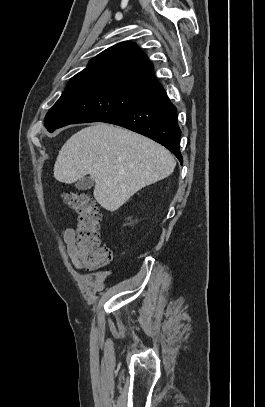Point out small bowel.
I'll list each match as a JSON object with an SVG mask.
<instances>
[{
	"label": "small bowel",
	"mask_w": 265,
	"mask_h": 407,
	"mask_svg": "<svg viewBox=\"0 0 265 407\" xmlns=\"http://www.w3.org/2000/svg\"><path fill=\"white\" fill-rule=\"evenodd\" d=\"M75 230L73 228H65L61 232L62 240L66 246L67 254L71 259L73 266L78 270H85L76 260L75 250Z\"/></svg>",
	"instance_id": "obj_1"
}]
</instances>
